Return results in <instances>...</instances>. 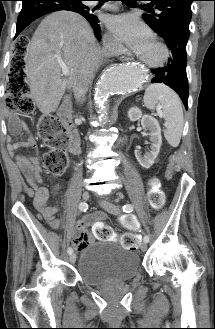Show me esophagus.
<instances>
[{
	"label": "esophagus",
	"mask_w": 215,
	"mask_h": 329,
	"mask_svg": "<svg viewBox=\"0 0 215 329\" xmlns=\"http://www.w3.org/2000/svg\"><path fill=\"white\" fill-rule=\"evenodd\" d=\"M120 58H121V60H123V61H128V60H130V57H129L128 55H122Z\"/></svg>",
	"instance_id": "obj_1"
}]
</instances>
